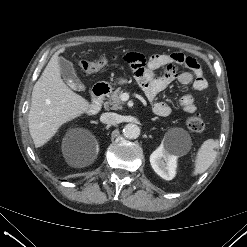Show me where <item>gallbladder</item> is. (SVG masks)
<instances>
[{
	"mask_svg": "<svg viewBox=\"0 0 247 247\" xmlns=\"http://www.w3.org/2000/svg\"><path fill=\"white\" fill-rule=\"evenodd\" d=\"M58 65L60 68V73L65 82L74 90H80L81 82L75 73L73 64L64 57H58Z\"/></svg>",
	"mask_w": 247,
	"mask_h": 247,
	"instance_id": "obj_1",
	"label": "gallbladder"
}]
</instances>
